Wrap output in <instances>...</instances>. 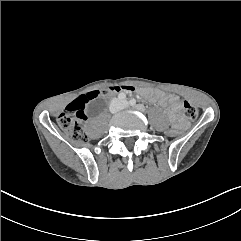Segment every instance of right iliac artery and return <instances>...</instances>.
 <instances>
[{
	"instance_id": "82829eb1",
	"label": "right iliac artery",
	"mask_w": 241,
	"mask_h": 241,
	"mask_svg": "<svg viewBox=\"0 0 241 241\" xmlns=\"http://www.w3.org/2000/svg\"><path fill=\"white\" fill-rule=\"evenodd\" d=\"M125 98H126V95H125L124 93H120V94L118 95V99H119V100H125Z\"/></svg>"
}]
</instances>
